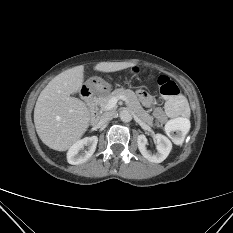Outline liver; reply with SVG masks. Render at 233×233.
Returning <instances> with one entry per match:
<instances>
[{
	"label": "liver",
	"instance_id": "1",
	"mask_svg": "<svg viewBox=\"0 0 233 233\" xmlns=\"http://www.w3.org/2000/svg\"><path fill=\"white\" fill-rule=\"evenodd\" d=\"M135 66L129 62H100L94 70L116 72ZM84 81V66H76L55 76L41 91L35 108L34 124L41 141L49 148L66 151L87 131L90 111L86 104L71 95Z\"/></svg>",
	"mask_w": 233,
	"mask_h": 233
}]
</instances>
